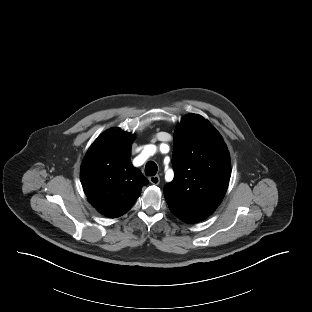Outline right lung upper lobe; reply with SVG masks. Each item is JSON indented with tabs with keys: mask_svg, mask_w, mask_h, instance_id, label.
<instances>
[{
	"mask_svg": "<svg viewBox=\"0 0 312 312\" xmlns=\"http://www.w3.org/2000/svg\"><path fill=\"white\" fill-rule=\"evenodd\" d=\"M135 135L111 128L91 145L81 165V183L91 204L115 218L131 209L148 180L131 164Z\"/></svg>",
	"mask_w": 312,
	"mask_h": 312,
	"instance_id": "cb5924a9",
	"label": "right lung upper lobe"
}]
</instances>
